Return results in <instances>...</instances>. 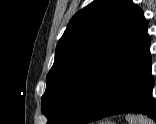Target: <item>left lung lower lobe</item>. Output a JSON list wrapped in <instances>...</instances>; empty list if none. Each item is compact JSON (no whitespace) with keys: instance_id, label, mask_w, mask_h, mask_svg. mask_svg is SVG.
Segmentation results:
<instances>
[{"instance_id":"obj_1","label":"left lung lower lobe","mask_w":156,"mask_h":124,"mask_svg":"<svg viewBox=\"0 0 156 124\" xmlns=\"http://www.w3.org/2000/svg\"><path fill=\"white\" fill-rule=\"evenodd\" d=\"M149 49L146 32L105 78L78 124L129 112L146 114L156 121Z\"/></svg>"}]
</instances>
